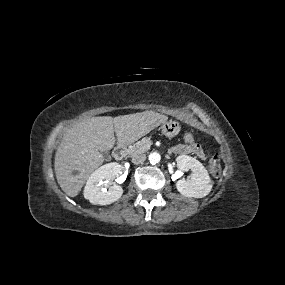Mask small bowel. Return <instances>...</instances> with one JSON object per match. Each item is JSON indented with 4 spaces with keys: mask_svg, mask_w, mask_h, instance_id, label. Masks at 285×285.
<instances>
[{
    "mask_svg": "<svg viewBox=\"0 0 285 285\" xmlns=\"http://www.w3.org/2000/svg\"><path fill=\"white\" fill-rule=\"evenodd\" d=\"M173 152L176 154H194L196 156H198L199 158H201L202 160L206 159V156L202 150V148L200 147V145L196 142H194L193 145L188 146L185 144H181V145H177L173 148Z\"/></svg>",
    "mask_w": 285,
    "mask_h": 285,
    "instance_id": "small-bowel-1",
    "label": "small bowel"
}]
</instances>
